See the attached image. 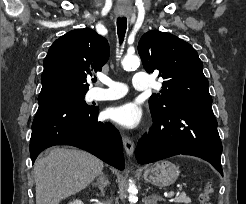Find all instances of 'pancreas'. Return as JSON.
<instances>
[{
  "label": "pancreas",
  "mask_w": 246,
  "mask_h": 204,
  "mask_svg": "<svg viewBox=\"0 0 246 204\" xmlns=\"http://www.w3.org/2000/svg\"><path fill=\"white\" fill-rule=\"evenodd\" d=\"M175 202L177 203H185V204H189L191 202V199L189 197L186 196L185 193H181L176 199Z\"/></svg>",
  "instance_id": "obj_1"
}]
</instances>
